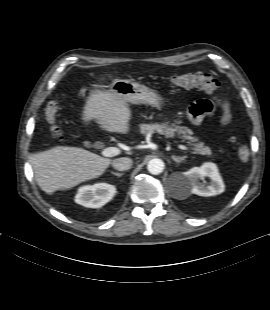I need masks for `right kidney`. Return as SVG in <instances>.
<instances>
[{"mask_svg": "<svg viewBox=\"0 0 270 310\" xmlns=\"http://www.w3.org/2000/svg\"><path fill=\"white\" fill-rule=\"evenodd\" d=\"M116 193V188L107 183H97L80 187L75 202L88 208H99L109 202Z\"/></svg>", "mask_w": 270, "mask_h": 310, "instance_id": "obj_1", "label": "right kidney"}]
</instances>
